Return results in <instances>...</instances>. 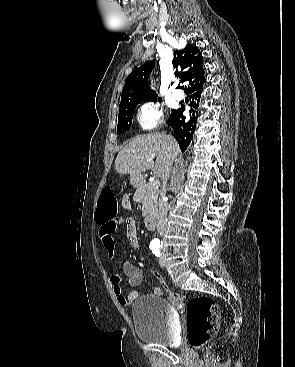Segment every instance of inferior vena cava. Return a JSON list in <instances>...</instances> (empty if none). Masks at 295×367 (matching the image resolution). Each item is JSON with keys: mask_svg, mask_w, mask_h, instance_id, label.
Returning <instances> with one entry per match:
<instances>
[{"mask_svg": "<svg viewBox=\"0 0 295 367\" xmlns=\"http://www.w3.org/2000/svg\"><path fill=\"white\" fill-rule=\"evenodd\" d=\"M169 139L171 144L175 143L173 137L169 136ZM167 179L168 177L163 180V189L159 199L157 230L160 233V235H162L166 230V217L169 208L168 203L165 201Z\"/></svg>", "mask_w": 295, "mask_h": 367, "instance_id": "602c4592", "label": "inferior vena cava"}]
</instances>
